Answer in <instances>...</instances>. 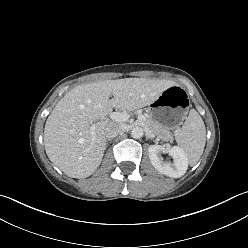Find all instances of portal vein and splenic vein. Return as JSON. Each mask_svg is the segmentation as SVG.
<instances>
[{"label":"portal vein and splenic vein","mask_w":248,"mask_h":248,"mask_svg":"<svg viewBox=\"0 0 248 248\" xmlns=\"http://www.w3.org/2000/svg\"><path fill=\"white\" fill-rule=\"evenodd\" d=\"M110 119L114 120V121H118V122H124V121H127L129 119V114L121 113V112H113L110 114ZM138 119L142 121V120H145V117L143 115H139ZM98 124H99V122L98 123H91L90 131H91V134L93 136L92 141L95 140L94 130H95L96 125H98Z\"/></svg>","instance_id":"portal-vein-and-splenic-vein-1"}]
</instances>
